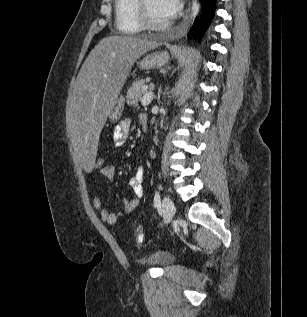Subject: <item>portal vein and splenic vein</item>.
Listing matches in <instances>:
<instances>
[{"mask_svg": "<svg viewBox=\"0 0 307 317\" xmlns=\"http://www.w3.org/2000/svg\"><path fill=\"white\" fill-rule=\"evenodd\" d=\"M152 99H153V92L152 91H148V92H146L143 95V97L141 99V104L143 106H147V105H149L151 103Z\"/></svg>", "mask_w": 307, "mask_h": 317, "instance_id": "portal-vein-and-splenic-vein-1", "label": "portal vein and splenic vein"}]
</instances>
